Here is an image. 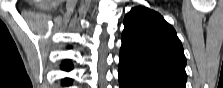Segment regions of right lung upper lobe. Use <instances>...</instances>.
Returning <instances> with one entry per match:
<instances>
[{
  "label": "right lung upper lobe",
  "instance_id": "1",
  "mask_svg": "<svg viewBox=\"0 0 223 88\" xmlns=\"http://www.w3.org/2000/svg\"><path fill=\"white\" fill-rule=\"evenodd\" d=\"M62 69L64 70H70L72 69V64L69 60H65V62L62 64Z\"/></svg>",
  "mask_w": 223,
  "mask_h": 88
}]
</instances>
